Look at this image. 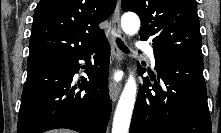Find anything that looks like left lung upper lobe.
Returning a JSON list of instances; mask_svg holds the SVG:
<instances>
[{"mask_svg": "<svg viewBox=\"0 0 221 133\" xmlns=\"http://www.w3.org/2000/svg\"><path fill=\"white\" fill-rule=\"evenodd\" d=\"M141 19L140 37L153 48L203 60L195 0H122Z\"/></svg>", "mask_w": 221, "mask_h": 133, "instance_id": "1", "label": "left lung upper lobe"}]
</instances>
